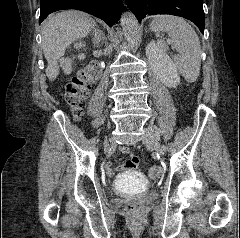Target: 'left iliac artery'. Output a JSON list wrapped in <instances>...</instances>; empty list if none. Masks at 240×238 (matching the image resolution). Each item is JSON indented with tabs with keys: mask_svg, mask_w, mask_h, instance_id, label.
<instances>
[{
	"mask_svg": "<svg viewBox=\"0 0 240 238\" xmlns=\"http://www.w3.org/2000/svg\"><path fill=\"white\" fill-rule=\"evenodd\" d=\"M155 132H157V135H158V138H157L158 145L161 146L162 149H165L166 147H168L169 146V143H168L169 140L166 137L167 133L163 132L162 129H156Z\"/></svg>",
	"mask_w": 240,
	"mask_h": 238,
	"instance_id": "44dca946",
	"label": "left iliac artery"
}]
</instances>
